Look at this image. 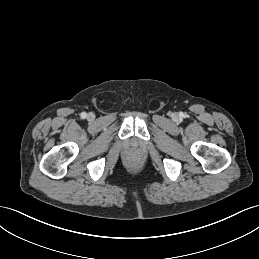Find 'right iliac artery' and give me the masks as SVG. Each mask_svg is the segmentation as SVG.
Masks as SVG:
<instances>
[{
  "instance_id": "obj_1",
  "label": "right iliac artery",
  "mask_w": 259,
  "mask_h": 259,
  "mask_svg": "<svg viewBox=\"0 0 259 259\" xmlns=\"http://www.w3.org/2000/svg\"><path fill=\"white\" fill-rule=\"evenodd\" d=\"M80 116H81L82 119H85L86 116H87V114H86L85 112H82V113L80 114Z\"/></svg>"
}]
</instances>
